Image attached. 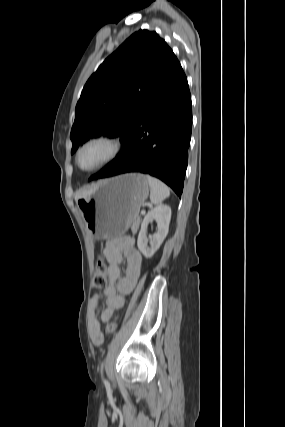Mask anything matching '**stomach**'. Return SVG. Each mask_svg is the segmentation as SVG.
<instances>
[{"label":"stomach","mask_w":285,"mask_h":427,"mask_svg":"<svg viewBox=\"0 0 285 427\" xmlns=\"http://www.w3.org/2000/svg\"><path fill=\"white\" fill-rule=\"evenodd\" d=\"M149 190L145 175L124 174L101 181L90 196L77 199V208L93 236L111 239L132 225Z\"/></svg>","instance_id":"obj_1"}]
</instances>
